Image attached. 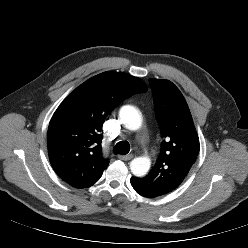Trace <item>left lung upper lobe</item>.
<instances>
[{"label": "left lung upper lobe", "mask_w": 248, "mask_h": 248, "mask_svg": "<svg viewBox=\"0 0 248 248\" xmlns=\"http://www.w3.org/2000/svg\"><path fill=\"white\" fill-rule=\"evenodd\" d=\"M163 142L155 166L143 178L132 177L156 196L175 190L187 177L200 145L192 116L179 89L164 79H149Z\"/></svg>", "instance_id": "obj_1"}]
</instances>
